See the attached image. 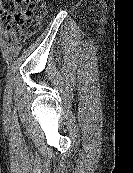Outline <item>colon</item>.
<instances>
[{"mask_svg": "<svg viewBox=\"0 0 133 173\" xmlns=\"http://www.w3.org/2000/svg\"><path fill=\"white\" fill-rule=\"evenodd\" d=\"M45 13L44 0H0V18L14 39L33 35Z\"/></svg>", "mask_w": 133, "mask_h": 173, "instance_id": "1", "label": "colon"}]
</instances>
